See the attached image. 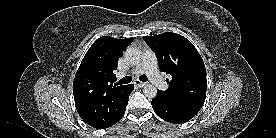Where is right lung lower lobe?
Here are the masks:
<instances>
[{
  "label": "right lung lower lobe",
  "mask_w": 276,
  "mask_h": 138,
  "mask_svg": "<svg viewBox=\"0 0 276 138\" xmlns=\"http://www.w3.org/2000/svg\"><path fill=\"white\" fill-rule=\"evenodd\" d=\"M129 90H130V93L132 92V90H133V84H130L129 85ZM130 95V94H129ZM126 110V109H125ZM124 113H125V111H124ZM124 113H123V115H124ZM123 117V116H122Z\"/></svg>",
  "instance_id": "right-lung-lower-lobe-1"
}]
</instances>
